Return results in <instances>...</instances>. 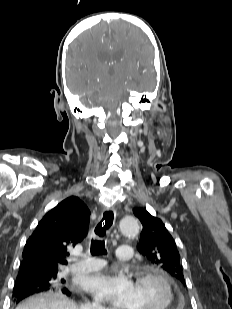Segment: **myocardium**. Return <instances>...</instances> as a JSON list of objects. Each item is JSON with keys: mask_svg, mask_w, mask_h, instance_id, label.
<instances>
[{"mask_svg": "<svg viewBox=\"0 0 232 309\" xmlns=\"http://www.w3.org/2000/svg\"><path fill=\"white\" fill-rule=\"evenodd\" d=\"M147 279L158 282L165 291L166 296L165 303L160 309H171L172 306L174 305L175 294L169 279L156 269H144L137 272L136 282H140Z\"/></svg>", "mask_w": 232, "mask_h": 309, "instance_id": "1", "label": "myocardium"}]
</instances>
